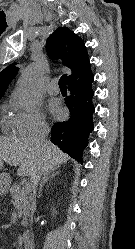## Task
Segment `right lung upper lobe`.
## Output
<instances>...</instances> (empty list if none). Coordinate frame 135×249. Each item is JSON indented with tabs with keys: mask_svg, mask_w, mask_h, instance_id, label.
<instances>
[{
	"mask_svg": "<svg viewBox=\"0 0 135 249\" xmlns=\"http://www.w3.org/2000/svg\"><path fill=\"white\" fill-rule=\"evenodd\" d=\"M48 56L61 59L64 66L71 70L67 84L81 81L92 74L87 49L84 41L66 27H59L46 43ZM12 64L0 72V98L7 86L16 76L18 68Z\"/></svg>",
	"mask_w": 135,
	"mask_h": 249,
	"instance_id": "cb5924a9",
	"label": "right lung upper lobe"
}]
</instances>
